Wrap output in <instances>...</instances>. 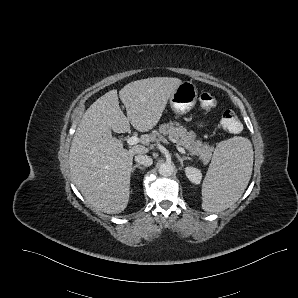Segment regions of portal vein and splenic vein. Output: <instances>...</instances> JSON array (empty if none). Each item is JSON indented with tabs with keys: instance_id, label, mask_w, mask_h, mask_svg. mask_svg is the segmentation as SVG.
Returning <instances> with one entry per match:
<instances>
[{
	"instance_id": "obj_1",
	"label": "portal vein and splenic vein",
	"mask_w": 298,
	"mask_h": 298,
	"mask_svg": "<svg viewBox=\"0 0 298 298\" xmlns=\"http://www.w3.org/2000/svg\"><path fill=\"white\" fill-rule=\"evenodd\" d=\"M128 143L130 145H136V144H139L140 143V138L139 136L135 135V136H131L129 139H128ZM175 147H176V150L178 152H181L183 153L185 150L184 148L179 144V143H176L175 144Z\"/></svg>"
}]
</instances>
